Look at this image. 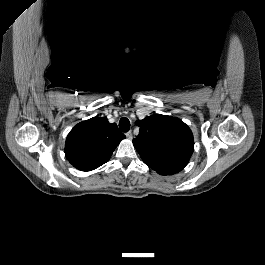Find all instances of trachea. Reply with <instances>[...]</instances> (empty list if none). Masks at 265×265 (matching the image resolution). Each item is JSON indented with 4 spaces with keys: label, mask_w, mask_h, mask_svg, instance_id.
I'll return each mask as SVG.
<instances>
[{
    "label": "trachea",
    "mask_w": 265,
    "mask_h": 265,
    "mask_svg": "<svg viewBox=\"0 0 265 265\" xmlns=\"http://www.w3.org/2000/svg\"><path fill=\"white\" fill-rule=\"evenodd\" d=\"M119 128L122 132H128L130 130V121L126 117H122L119 121Z\"/></svg>",
    "instance_id": "obj_1"
}]
</instances>
